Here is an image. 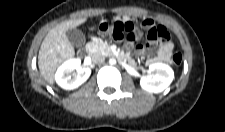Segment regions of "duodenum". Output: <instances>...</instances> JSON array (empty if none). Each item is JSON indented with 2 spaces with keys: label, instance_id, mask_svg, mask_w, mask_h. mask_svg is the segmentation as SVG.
I'll return each instance as SVG.
<instances>
[{
  "label": "duodenum",
  "instance_id": "1",
  "mask_svg": "<svg viewBox=\"0 0 225 132\" xmlns=\"http://www.w3.org/2000/svg\"><path fill=\"white\" fill-rule=\"evenodd\" d=\"M83 55H84V56L87 55V51H86V50L83 51Z\"/></svg>",
  "mask_w": 225,
  "mask_h": 132
}]
</instances>
